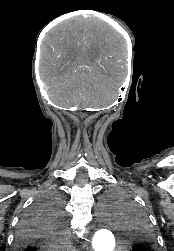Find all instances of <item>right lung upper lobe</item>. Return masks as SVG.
<instances>
[{"label": "right lung upper lobe", "instance_id": "obj_1", "mask_svg": "<svg viewBox=\"0 0 174 251\" xmlns=\"http://www.w3.org/2000/svg\"><path fill=\"white\" fill-rule=\"evenodd\" d=\"M32 220H42L45 223H47L48 226L54 225L53 221L49 218H47L46 216L43 215H33L31 216ZM42 232H44L48 237L50 238H55L56 237V233H58L57 229H51L48 227H45ZM52 249V248H51ZM27 251H38V250H49V248H41V247H30L26 249Z\"/></svg>", "mask_w": 174, "mask_h": 251}]
</instances>
